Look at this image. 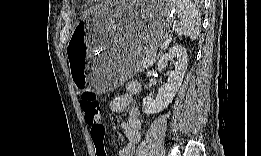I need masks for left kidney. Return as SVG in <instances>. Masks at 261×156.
Listing matches in <instances>:
<instances>
[{"mask_svg": "<svg viewBox=\"0 0 261 156\" xmlns=\"http://www.w3.org/2000/svg\"><path fill=\"white\" fill-rule=\"evenodd\" d=\"M168 63H172L174 69L167 73V82L159 88L156 98L152 99L149 96L143 98L142 106L146 114L159 113L172 102L187 69L188 56L186 49L181 45L174 46L159 59L158 69L165 68Z\"/></svg>", "mask_w": 261, "mask_h": 156, "instance_id": "1", "label": "left kidney"}]
</instances>
